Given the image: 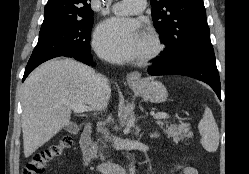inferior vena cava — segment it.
Segmentation results:
<instances>
[{
	"mask_svg": "<svg viewBox=\"0 0 249 174\" xmlns=\"http://www.w3.org/2000/svg\"><path fill=\"white\" fill-rule=\"evenodd\" d=\"M96 81L102 94L105 95L107 90L109 89L108 79L102 75H97ZM102 131L106 135V137H108L107 129H102Z\"/></svg>",
	"mask_w": 249,
	"mask_h": 174,
	"instance_id": "obj_1",
	"label": "inferior vena cava"
}]
</instances>
